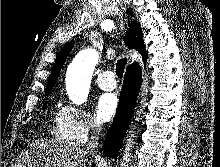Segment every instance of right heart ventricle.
<instances>
[{
	"instance_id": "right-heart-ventricle-1",
	"label": "right heart ventricle",
	"mask_w": 220,
	"mask_h": 167,
	"mask_svg": "<svg viewBox=\"0 0 220 167\" xmlns=\"http://www.w3.org/2000/svg\"><path fill=\"white\" fill-rule=\"evenodd\" d=\"M51 133L60 142L67 144L71 143V140L63 130L58 117L55 120V124L51 127Z\"/></svg>"
}]
</instances>
